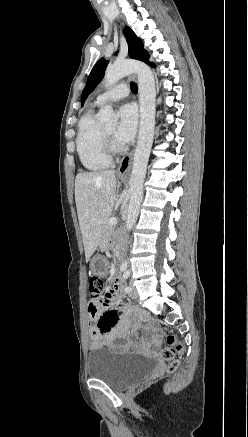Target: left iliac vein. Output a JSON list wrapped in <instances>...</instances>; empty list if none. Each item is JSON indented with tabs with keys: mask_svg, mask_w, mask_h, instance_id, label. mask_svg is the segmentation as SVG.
Returning <instances> with one entry per match:
<instances>
[{
	"mask_svg": "<svg viewBox=\"0 0 248 437\" xmlns=\"http://www.w3.org/2000/svg\"><path fill=\"white\" fill-rule=\"evenodd\" d=\"M131 291L129 292V295L131 298L136 299L138 297V292L136 290V288L131 284Z\"/></svg>",
	"mask_w": 248,
	"mask_h": 437,
	"instance_id": "left-iliac-vein-1",
	"label": "left iliac vein"
}]
</instances>
